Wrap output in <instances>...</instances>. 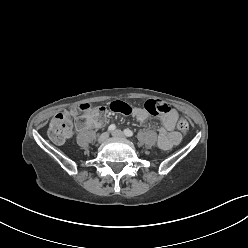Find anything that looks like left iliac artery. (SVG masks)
<instances>
[{"instance_id":"obj_1","label":"left iliac artery","mask_w":248,"mask_h":248,"mask_svg":"<svg viewBox=\"0 0 248 248\" xmlns=\"http://www.w3.org/2000/svg\"><path fill=\"white\" fill-rule=\"evenodd\" d=\"M124 134H125L126 136H128V137L133 136V132H132L130 129H125V130H124Z\"/></svg>"}]
</instances>
